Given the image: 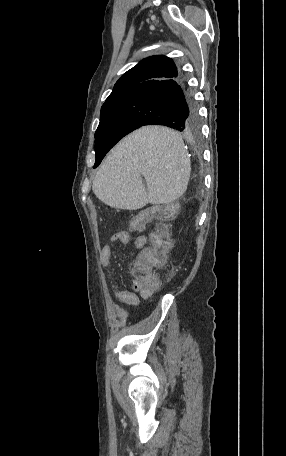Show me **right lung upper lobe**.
Segmentation results:
<instances>
[{"label":"right lung upper lobe","mask_w":286,"mask_h":456,"mask_svg":"<svg viewBox=\"0 0 286 456\" xmlns=\"http://www.w3.org/2000/svg\"><path fill=\"white\" fill-rule=\"evenodd\" d=\"M176 77H178L177 67L172 59L166 56H152L143 59L122 75L104 104L124 98L135 90L153 83Z\"/></svg>","instance_id":"1"}]
</instances>
